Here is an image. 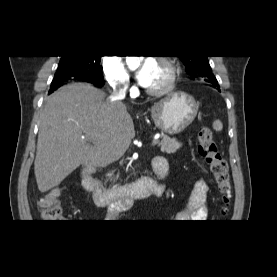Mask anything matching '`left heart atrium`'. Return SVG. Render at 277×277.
Returning <instances> with one entry per match:
<instances>
[{"instance_id": "1", "label": "left heart atrium", "mask_w": 277, "mask_h": 277, "mask_svg": "<svg viewBox=\"0 0 277 277\" xmlns=\"http://www.w3.org/2000/svg\"><path fill=\"white\" fill-rule=\"evenodd\" d=\"M155 66L156 62L152 59H147L142 63L136 75L140 85L143 87H149Z\"/></svg>"}]
</instances>
